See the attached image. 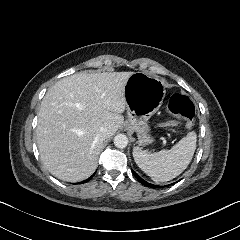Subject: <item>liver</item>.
<instances>
[{
    "mask_svg": "<svg viewBox=\"0 0 240 240\" xmlns=\"http://www.w3.org/2000/svg\"><path fill=\"white\" fill-rule=\"evenodd\" d=\"M133 73L78 72L47 91L36 132L40 158L52 175L79 182L93 174L103 147L96 132L103 127L111 137L123 126L125 85Z\"/></svg>",
    "mask_w": 240,
    "mask_h": 240,
    "instance_id": "obj_1",
    "label": "liver"
}]
</instances>
